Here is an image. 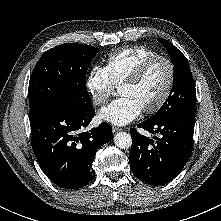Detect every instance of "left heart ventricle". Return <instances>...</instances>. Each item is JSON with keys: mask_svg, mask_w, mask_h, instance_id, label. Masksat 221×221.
Instances as JSON below:
<instances>
[{"mask_svg": "<svg viewBox=\"0 0 221 221\" xmlns=\"http://www.w3.org/2000/svg\"><path fill=\"white\" fill-rule=\"evenodd\" d=\"M168 79V66L163 61H156L139 82L121 86L119 93L133 98L144 109L153 106L160 99L166 89Z\"/></svg>", "mask_w": 221, "mask_h": 221, "instance_id": "1", "label": "left heart ventricle"}]
</instances>
